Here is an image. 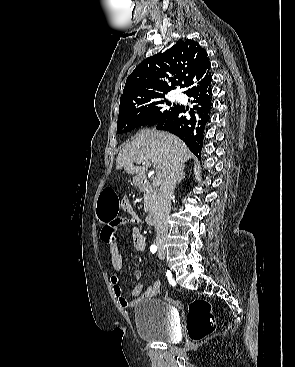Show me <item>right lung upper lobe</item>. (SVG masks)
Listing matches in <instances>:
<instances>
[{
	"label": "right lung upper lobe",
	"instance_id": "obj_1",
	"mask_svg": "<svg viewBox=\"0 0 295 367\" xmlns=\"http://www.w3.org/2000/svg\"><path fill=\"white\" fill-rule=\"evenodd\" d=\"M212 79L207 52L193 41H180L164 53L142 61L128 76L119 111L130 102L151 100L176 88L184 93Z\"/></svg>",
	"mask_w": 295,
	"mask_h": 367
}]
</instances>
